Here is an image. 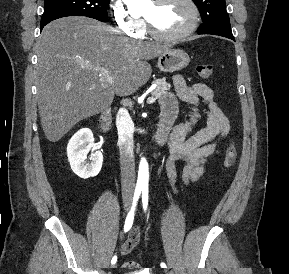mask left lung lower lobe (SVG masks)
<instances>
[{"label":"left lung lower lobe","instance_id":"left-lung-lower-lobe-1","mask_svg":"<svg viewBox=\"0 0 289 274\" xmlns=\"http://www.w3.org/2000/svg\"><path fill=\"white\" fill-rule=\"evenodd\" d=\"M224 37H227V38L232 39L233 41H235L233 36H224Z\"/></svg>","mask_w":289,"mask_h":274}]
</instances>
